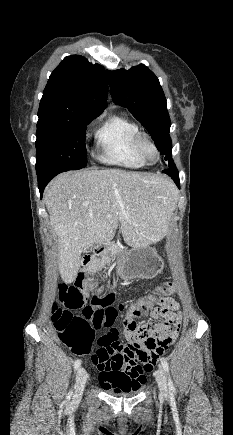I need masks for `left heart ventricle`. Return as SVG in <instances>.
<instances>
[{"label": "left heart ventricle", "mask_w": 233, "mask_h": 435, "mask_svg": "<svg viewBox=\"0 0 233 435\" xmlns=\"http://www.w3.org/2000/svg\"><path fill=\"white\" fill-rule=\"evenodd\" d=\"M149 158L154 161L156 159V155L152 149L148 151Z\"/></svg>", "instance_id": "obj_1"}]
</instances>
